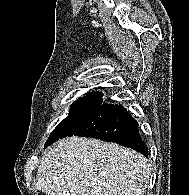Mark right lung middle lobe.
<instances>
[{"mask_svg": "<svg viewBox=\"0 0 189 195\" xmlns=\"http://www.w3.org/2000/svg\"><path fill=\"white\" fill-rule=\"evenodd\" d=\"M103 102L102 94H91L77 99L70 109V114L58 124L45 143V148L51 143L73 135L95 113Z\"/></svg>", "mask_w": 189, "mask_h": 195, "instance_id": "right-lung-middle-lobe-1", "label": "right lung middle lobe"}]
</instances>
